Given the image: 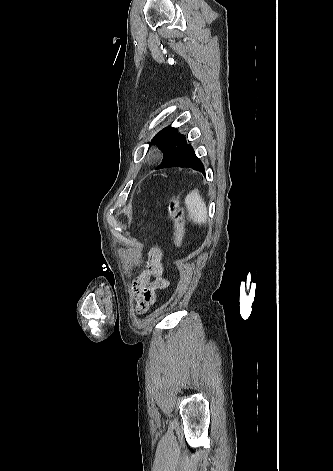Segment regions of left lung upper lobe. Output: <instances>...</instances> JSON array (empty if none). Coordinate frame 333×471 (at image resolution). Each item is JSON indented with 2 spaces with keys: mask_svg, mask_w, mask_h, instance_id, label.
I'll return each mask as SVG.
<instances>
[{
  "mask_svg": "<svg viewBox=\"0 0 333 471\" xmlns=\"http://www.w3.org/2000/svg\"><path fill=\"white\" fill-rule=\"evenodd\" d=\"M151 144L156 145L164 153L163 161L156 169L169 167L168 162L171 158L188 145L185 136L171 126L158 132L151 140Z\"/></svg>",
  "mask_w": 333,
  "mask_h": 471,
  "instance_id": "5c2ea615",
  "label": "left lung upper lobe"
}]
</instances>
